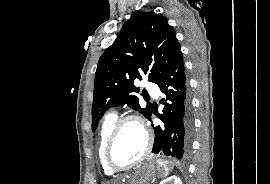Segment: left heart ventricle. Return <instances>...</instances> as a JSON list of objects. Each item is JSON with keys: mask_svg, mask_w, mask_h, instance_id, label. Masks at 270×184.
Listing matches in <instances>:
<instances>
[{"mask_svg": "<svg viewBox=\"0 0 270 184\" xmlns=\"http://www.w3.org/2000/svg\"><path fill=\"white\" fill-rule=\"evenodd\" d=\"M145 145L146 138L142 128L135 122H128L118 134L111 160L118 166L128 165L142 155Z\"/></svg>", "mask_w": 270, "mask_h": 184, "instance_id": "left-heart-ventricle-1", "label": "left heart ventricle"}]
</instances>
